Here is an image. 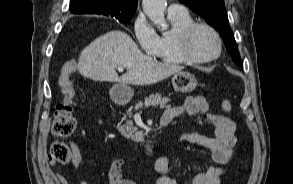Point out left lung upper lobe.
Masks as SVG:
<instances>
[{"mask_svg":"<svg viewBox=\"0 0 293 184\" xmlns=\"http://www.w3.org/2000/svg\"><path fill=\"white\" fill-rule=\"evenodd\" d=\"M187 5L195 13L203 17L221 35L227 51L234 62L243 66L240 54L234 39V34L230 28L224 0H179Z\"/></svg>","mask_w":293,"mask_h":184,"instance_id":"5c2ea615","label":"left lung upper lobe"}]
</instances>
